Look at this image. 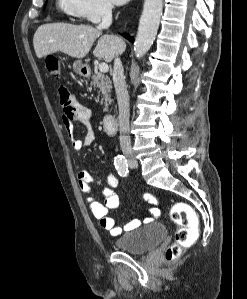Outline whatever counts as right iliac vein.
Wrapping results in <instances>:
<instances>
[{
  "instance_id": "1",
  "label": "right iliac vein",
  "mask_w": 247,
  "mask_h": 299,
  "mask_svg": "<svg viewBox=\"0 0 247 299\" xmlns=\"http://www.w3.org/2000/svg\"><path fill=\"white\" fill-rule=\"evenodd\" d=\"M126 159H127L128 164H129L130 167H132V168H137L138 167V162L132 155L127 154Z\"/></svg>"
}]
</instances>
